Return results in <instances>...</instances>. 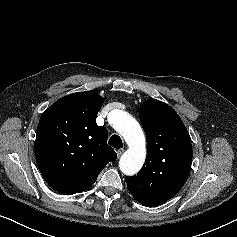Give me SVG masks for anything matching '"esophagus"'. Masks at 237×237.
I'll return each mask as SVG.
<instances>
[{
	"label": "esophagus",
	"instance_id": "esophagus-1",
	"mask_svg": "<svg viewBox=\"0 0 237 237\" xmlns=\"http://www.w3.org/2000/svg\"><path fill=\"white\" fill-rule=\"evenodd\" d=\"M123 152H124V149H119V150L117 151L118 157H120V156L123 154Z\"/></svg>",
	"mask_w": 237,
	"mask_h": 237
}]
</instances>
